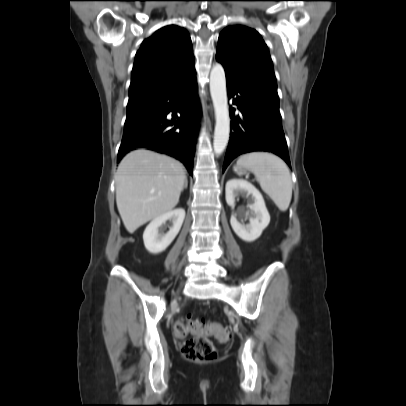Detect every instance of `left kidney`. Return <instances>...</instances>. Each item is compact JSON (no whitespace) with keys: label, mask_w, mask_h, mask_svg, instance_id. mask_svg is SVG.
<instances>
[{"label":"left kidney","mask_w":406,"mask_h":406,"mask_svg":"<svg viewBox=\"0 0 406 406\" xmlns=\"http://www.w3.org/2000/svg\"><path fill=\"white\" fill-rule=\"evenodd\" d=\"M239 195L251 196L253 201L248 207L250 212L246 213L249 217V224H241L236 214L230 219L232 229L242 240L252 242L258 239L263 230L270 222V215L265 206L263 196L251 183L243 179H231L226 183L225 196L229 206H235V199Z\"/></svg>","instance_id":"5707ae66"}]
</instances>
